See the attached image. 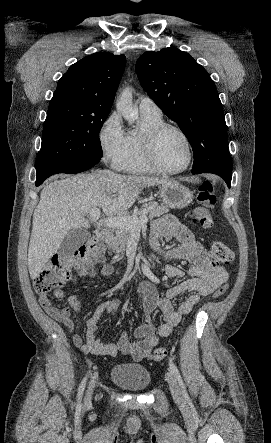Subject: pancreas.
Returning a JSON list of instances; mask_svg holds the SVG:
<instances>
[{
	"instance_id": "cf45deb5",
	"label": "pancreas",
	"mask_w": 271,
	"mask_h": 443,
	"mask_svg": "<svg viewBox=\"0 0 271 443\" xmlns=\"http://www.w3.org/2000/svg\"><path fill=\"white\" fill-rule=\"evenodd\" d=\"M144 210H147L148 214H144ZM167 212H169V210L165 208V206H159L157 202H148V204H143L141 210H134L133 216H136V218L147 216L148 220H153L156 216H162V214H167ZM132 229H121V227H118L115 235H107L105 243H107L108 247L114 249L116 253L124 251Z\"/></svg>"
}]
</instances>
